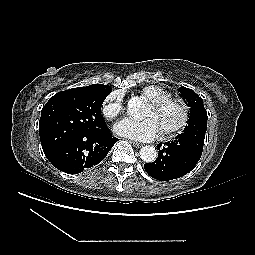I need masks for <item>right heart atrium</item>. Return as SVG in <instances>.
<instances>
[{"instance_id": "1", "label": "right heart atrium", "mask_w": 255, "mask_h": 255, "mask_svg": "<svg viewBox=\"0 0 255 255\" xmlns=\"http://www.w3.org/2000/svg\"><path fill=\"white\" fill-rule=\"evenodd\" d=\"M124 112V102L122 98V94L120 92H112L110 93L103 105H102V113L104 117L108 120H113L118 117L120 114Z\"/></svg>"}]
</instances>
